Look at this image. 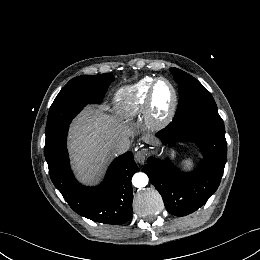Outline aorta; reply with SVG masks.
<instances>
[{
	"instance_id": "aorta-1",
	"label": "aorta",
	"mask_w": 260,
	"mask_h": 260,
	"mask_svg": "<svg viewBox=\"0 0 260 260\" xmlns=\"http://www.w3.org/2000/svg\"><path fill=\"white\" fill-rule=\"evenodd\" d=\"M148 176L145 173L138 172L132 177V184L134 187L142 188L148 184Z\"/></svg>"
}]
</instances>
